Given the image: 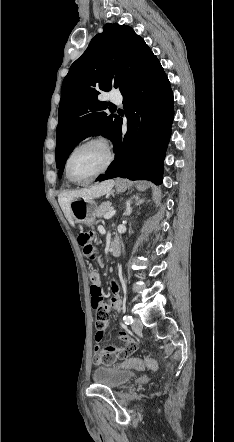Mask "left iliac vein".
<instances>
[{
    "label": "left iliac vein",
    "instance_id": "4c4485c4",
    "mask_svg": "<svg viewBox=\"0 0 234 442\" xmlns=\"http://www.w3.org/2000/svg\"><path fill=\"white\" fill-rule=\"evenodd\" d=\"M143 327L142 321L140 318H134V321L132 323V329L134 331H140Z\"/></svg>",
    "mask_w": 234,
    "mask_h": 442
}]
</instances>
